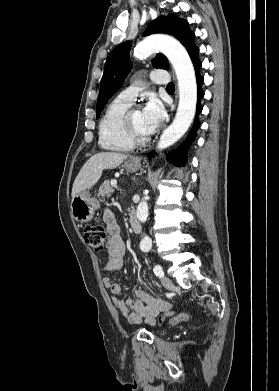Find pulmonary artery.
<instances>
[{"label": "pulmonary artery", "instance_id": "obj_1", "mask_svg": "<svg viewBox=\"0 0 279 391\" xmlns=\"http://www.w3.org/2000/svg\"><path fill=\"white\" fill-rule=\"evenodd\" d=\"M151 81L154 83H167L169 81V74L165 71H155L151 77ZM143 89V87L139 84H132L128 88L124 89L123 91L120 92L119 97L133 102L136 99V96L138 93Z\"/></svg>", "mask_w": 279, "mask_h": 391}]
</instances>
